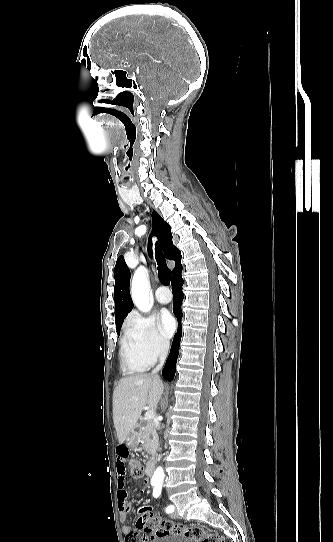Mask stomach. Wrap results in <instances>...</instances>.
<instances>
[{
    "label": "stomach",
    "instance_id": "1",
    "mask_svg": "<svg viewBox=\"0 0 333 542\" xmlns=\"http://www.w3.org/2000/svg\"><path fill=\"white\" fill-rule=\"evenodd\" d=\"M140 442V432H138L137 428H134L132 432H130L129 436L126 438V444L129 446V448H137L139 446Z\"/></svg>",
    "mask_w": 333,
    "mask_h": 542
}]
</instances>
